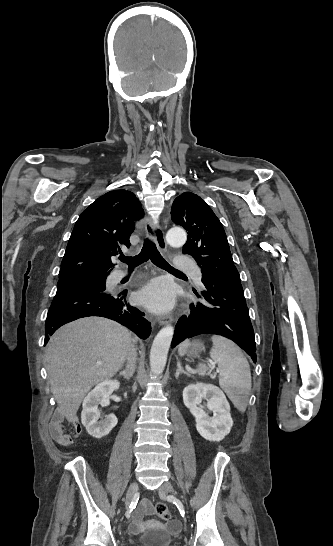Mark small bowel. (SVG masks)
Masks as SVG:
<instances>
[{"label": "small bowel", "mask_w": 333, "mask_h": 546, "mask_svg": "<svg viewBox=\"0 0 333 546\" xmlns=\"http://www.w3.org/2000/svg\"><path fill=\"white\" fill-rule=\"evenodd\" d=\"M74 434L68 435L65 433V428L63 426V420L60 417H54L50 422V432L55 441L61 445H70L74 438L80 434L81 426L79 423L74 425ZM153 508L152 504L148 500H143L139 507L135 510L132 516V522L129 526V529L133 533H137L144 529L146 524L142 521L144 515L152 514ZM178 524L173 523L169 525L170 529L177 528Z\"/></svg>", "instance_id": "c3829d8e"}]
</instances>
